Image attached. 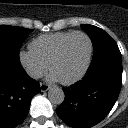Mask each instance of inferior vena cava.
Instances as JSON below:
<instances>
[{"mask_svg": "<svg viewBox=\"0 0 128 128\" xmlns=\"http://www.w3.org/2000/svg\"><path fill=\"white\" fill-rule=\"evenodd\" d=\"M26 72H27V74L30 76V77H32V78H34V79H38V78H41L43 75H42V72L41 71H39V70H37V69H35V68H27L26 69Z\"/></svg>", "mask_w": 128, "mask_h": 128, "instance_id": "obj_1", "label": "inferior vena cava"}]
</instances>
